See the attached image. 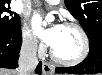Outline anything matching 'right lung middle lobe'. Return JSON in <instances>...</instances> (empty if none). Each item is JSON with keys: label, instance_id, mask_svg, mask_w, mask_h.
Segmentation results:
<instances>
[{"label": "right lung middle lobe", "instance_id": "right-lung-middle-lobe-1", "mask_svg": "<svg viewBox=\"0 0 102 75\" xmlns=\"http://www.w3.org/2000/svg\"><path fill=\"white\" fill-rule=\"evenodd\" d=\"M9 8L10 2H0V31L14 32L21 28L20 17Z\"/></svg>", "mask_w": 102, "mask_h": 75}]
</instances>
